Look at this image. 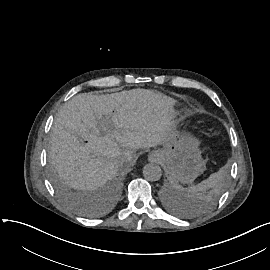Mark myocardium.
Masks as SVG:
<instances>
[{"mask_svg": "<svg viewBox=\"0 0 270 270\" xmlns=\"http://www.w3.org/2000/svg\"><path fill=\"white\" fill-rule=\"evenodd\" d=\"M192 139H193V137L191 135H182V140H184V141H190Z\"/></svg>", "mask_w": 270, "mask_h": 270, "instance_id": "1", "label": "myocardium"}]
</instances>
